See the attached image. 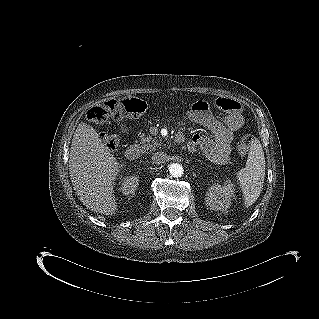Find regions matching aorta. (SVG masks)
<instances>
[{"label":"aorta","mask_w":319,"mask_h":319,"mask_svg":"<svg viewBox=\"0 0 319 319\" xmlns=\"http://www.w3.org/2000/svg\"><path fill=\"white\" fill-rule=\"evenodd\" d=\"M169 172L173 177H181L183 175L184 169L181 164L173 163L169 167Z\"/></svg>","instance_id":"aorta-1"}]
</instances>
